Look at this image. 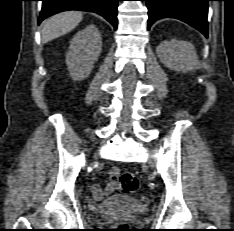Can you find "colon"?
Wrapping results in <instances>:
<instances>
[{"label": "colon", "instance_id": "1", "mask_svg": "<svg viewBox=\"0 0 234 231\" xmlns=\"http://www.w3.org/2000/svg\"><path fill=\"white\" fill-rule=\"evenodd\" d=\"M114 179H118L121 187V191L124 194H133L139 187V182L136 175L131 171L119 172L117 169L113 171ZM118 231H126L125 225H119Z\"/></svg>", "mask_w": 234, "mask_h": 231}]
</instances>
